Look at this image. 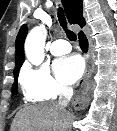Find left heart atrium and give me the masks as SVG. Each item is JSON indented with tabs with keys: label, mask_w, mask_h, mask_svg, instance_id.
Returning a JSON list of instances; mask_svg holds the SVG:
<instances>
[{
	"label": "left heart atrium",
	"mask_w": 117,
	"mask_h": 131,
	"mask_svg": "<svg viewBox=\"0 0 117 131\" xmlns=\"http://www.w3.org/2000/svg\"><path fill=\"white\" fill-rule=\"evenodd\" d=\"M53 68L60 81L65 84H72L81 77L84 63L79 56L72 55L56 60Z\"/></svg>",
	"instance_id": "1"
}]
</instances>
